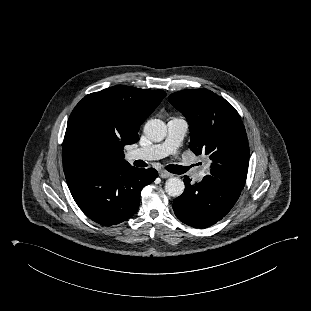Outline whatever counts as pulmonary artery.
I'll use <instances>...</instances> for the list:
<instances>
[{"label": "pulmonary artery", "instance_id": "1", "mask_svg": "<svg viewBox=\"0 0 311 311\" xmlns=\"http://www.w3.org/2000/svg\"><path fill=\"white\" fill-rule=\"evenodd\" d=\"M188 124L185 119L173 117L167 123V137L164 142L144 148H138L130 153L134 159L156 160L173 154L182 143ZM208 174L207 167L199 169L195 173V179L201 181Z\"/></svg>", "mask_w": 311, "mask_h": 311}]
</instances>
